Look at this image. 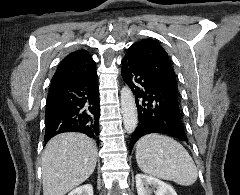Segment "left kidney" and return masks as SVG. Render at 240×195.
<instances>
[{
    "label": "left kidney",
    "mask_w": 240,
    "mask_h": 195,
    "mask_svg": "<svg viewBox=\"0 0 240 195\" xmlns=\"http://www.w3.org/2000/svg\"><path fill=\"white\" fill-rule=\"evenodd\" d=\"M135 181L138 195H151V187H156V189H154L155 195H177L175 189H173L169 183H165V181H161V179H157V177H152V175L137 173V175H135ZM149 185H151V187H149Z\"/></svg>",
    "instance_id": "obj_1"
}]
</instances>
